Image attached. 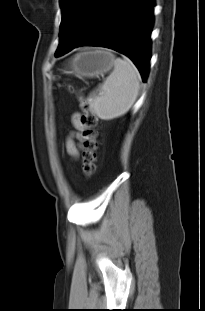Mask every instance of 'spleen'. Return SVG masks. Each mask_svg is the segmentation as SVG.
I'll list each match as a JSON object with an SVG mask.
<instances>
[{
	"mask_svg": "<svg viewBox=\"0 0 205 311\" xmlns=\"http://www.w3.org/2000/svg\"><path fill=\"white\" fill-rule=\"evenodd\" d=\"M140 80V73L130 59L116 58L114 70L99 86V93L90 94V109L103 120L126 114L139 95Z\"/></svg>",
	"mask_w": 205,
	"mask_h": 311,
	"instance_id": "3e777b00",
	"label": "spleen"
}]
</instances>
